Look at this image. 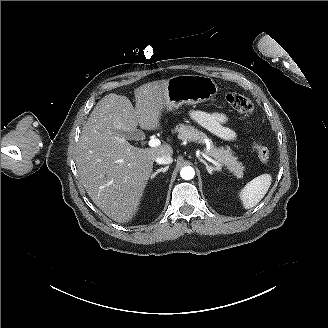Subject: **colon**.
<instances>
[{"label":"colon","mask_w":328,"mask_h":328,"mask_svg":"<svg viewBox=\"0 0 328 328\" xmlns=\"http://www.w3.org/2000/svg\"><path fill=\"white\" fill-rule=\"evenodd\" d=\"M226 102L246 120H249L253 114V103L249 98L236 92H229L225 96ZM252 149L257 158L265 163L270 159L269 149L259 141H253Z\"/></svg>","instance_id":"5ec220e1"}]
</instances>
